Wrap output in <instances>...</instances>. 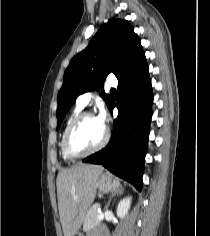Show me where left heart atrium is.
Segmentation results:
<instances>
[{
    "instance_id": "1",
    "label": "left heart atrium",
    "mask_w": 210,
    "mask_h": 236,
    "mask_svg": "<svg viewBox=\"0 0 210 236\" xmlns=\"http://www.w3.org/2000/svg\"><path fill=\"white\" fill-rule=\"evenodd\" d=\"M97 122L103 127H106V122H107V114L104 109H101L100 113L96 117Z\"/></svg>"
}]
</instances>
